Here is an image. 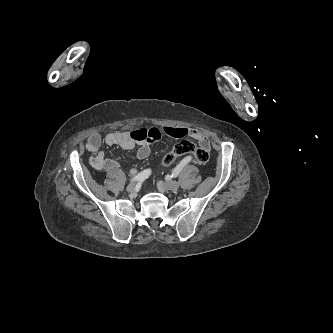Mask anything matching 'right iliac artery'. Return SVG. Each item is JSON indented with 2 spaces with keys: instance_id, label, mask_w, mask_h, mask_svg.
<instances>
[{
  "instance_id": "82829eb1",
  "label": "right iliac artery",
  "mask_w": 333,
  "mask_h": 333,
  "mask_svg": "<svg viewBox=\"0 0 333 333\" xmlns=\"http://www.w3.org/2000/svg\"><path fill=\"white\" fill-rule=\"evenodd\" d=\"M151 174V170L150 169H146L142 172H140L139 174H137L136 176H134L131 181L132 182H142L144 181L146 178H148Z\"/></svg>"
}]
</instances>
